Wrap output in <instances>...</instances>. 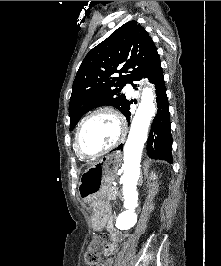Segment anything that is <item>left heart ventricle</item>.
Returning <instances> with one entry per match:
<instances>
[{"instance_id": "1", "label": "left heart ventricle", "mask_w": 221, "mask_h": 266, "mask_svg": "<svg viewBox=\"0 0 221 266\" xmlns=\"http://www.w3.org/2000/svg\"><path fill=\"white\" fill-rule=\"evenodd\" d=\"M119 133L116 119L109 114L94 116L85 126L81 144L89 153L97 152L115 141Z\"/></svg>"}]
</instances>
